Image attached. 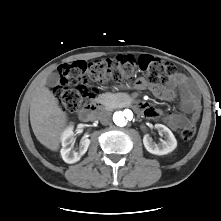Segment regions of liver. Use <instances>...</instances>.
<instances>
[{"label":"liver","mask_w":221,"mask_h":221,"mask_svg":"<svg viewBox=\"0 0 221 221\" xmlns=\"http://www.w3.org/2000/svg\"><path fill=\"white\" fill-rule=\"evenodd\" d=\"M45 84L46 78L40 81L33 92L30 123L37 140L48 149L57 151L68 118Z\"/></svg>","instance_id":"liver-1"}]
</instances>
